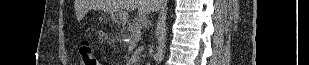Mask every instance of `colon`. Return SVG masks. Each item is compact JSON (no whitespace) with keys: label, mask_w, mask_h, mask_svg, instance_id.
I'll return each mask as SVG.
<instances>
[{"label":"colon","mask_w":309,"mask_h":65,"mask_svg":"<svg viewBox=\"0 0 309 65\" xmlns=\"http://www.w3.org/2000/svg\"><path fill=\"white\" fill-rule=\"evenodd\" d=\"M81 65H99L94 54L93 46L88 40H83L79 46Z\"/></svg>","instance_id":"1"}]
</instances>
